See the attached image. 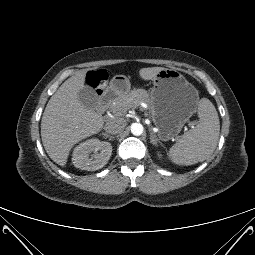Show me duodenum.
Here are the masks:
<instances>
[{
  "label": "duodenum",
  "mask_w": 255,
  "mask_h": 255,
  "mask_svg": "<svg viewBox=\"0 0 255 255\" xmlns=\"http://www.w3.org/2000/svg\"><path fill=\"white\" fill-rule=\"evenodd\" d=\"M124 88L125 87L123 85L114 83L108 89L99 92L100 105L103 107H107L112 102V100L117 96V94Z\"/></svg>",
  "instance_id": "1"
}]
</instances>
